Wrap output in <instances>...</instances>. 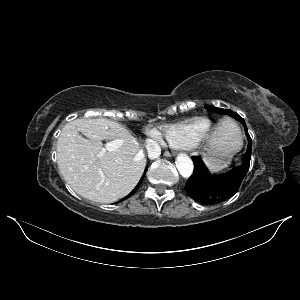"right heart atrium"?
<instances>
[{
    "mask_svg": "<svg viewBox=\"0 0 300 300\" xmlns=\"http://www.w3.org/2000/svg\"><path fill=\"white\" fill-rule=\"evenodd\" d=\"M150 134L156 141H161V135L157 130H151Z\"/></svg>",
    "mask_w": 300,
    "mask_h": 300,
    "instance_id": "d8ad5b80",
    "label": "right heart atrium"
}]
</instances>
